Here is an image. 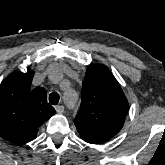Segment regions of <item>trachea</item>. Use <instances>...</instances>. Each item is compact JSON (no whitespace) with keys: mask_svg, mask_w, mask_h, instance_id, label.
I'll use <instances>...</instances> for the list:
<instances>
[{"mask_svg":"<svg viewBox=\"0 0 165 165\" xmlns=\"http://www.w3.org/2000/svg\"><path fill=\"white\" fill-rule=\"evenodd\" d=\"M59 94L56 92H53L49 95V103L52 105H57L59 102Z\"/></svg>","mask_w":165,"mask_h":165,"instance_id":"1","label":"trachea"}]
</instances>
